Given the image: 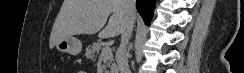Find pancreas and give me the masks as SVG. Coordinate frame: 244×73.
<instances>
[{"instance_id":"obj_1","label":"pancreas","mask_w":244,"mask_h":73,"mask_svg":"<svg viewBox=\"0 0 244 73\" xmlns=\"http://www.w3.org/2000/svg\"><path fill=\"white\" fill-rule=\"evenodd\" d=\"M101 46V43H93L92 45L87 47L85 52L86 58L95 61L97 58V54H99L100 50L102 49ZM103 61L105 67H110V69L112 70L111 72H113L116 69L114 57L111 51L104 56Z\"/></svg>"}]
</instances>
